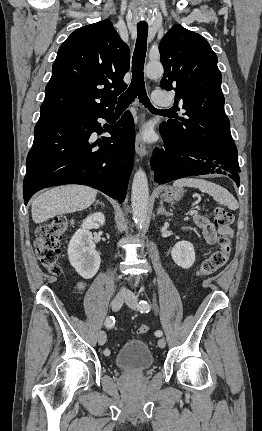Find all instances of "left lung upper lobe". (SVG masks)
<instances>
[{
	"mask_svg": "<svg viewBox=\"0 0 262 431\" xmlns=\"http://www.w3.org/2000/svg\"><path fill=\"white\" fill-rule=\"evenodd\" d=\"M159 51L160 87L176 92L174 108L185 116L162 123L161 131L174 144L220 151L232 137L215 52L204 37L181 25L166 33Z\"/></svg>",
	"mask_w": 262,
	"mask_h": 431,
	"instance_id": "left-lung-upper-lobe-1",
	"label": "left lung upper lobe"
}]
</instances>
